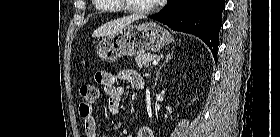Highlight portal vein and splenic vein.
I'll list each match as a JSON object with an SVG mask.
<instances>
[{"label": "portal vein and splenic vein", "mask_w": 280, "mask_h": 137, "mask_svg": "<svg viewBox=\"0 0 280 137\" xmlns=\"http://www.w3.org/2000/svg\"><path fill=\"white\" fill-rule=\"evenodd\" d=\"M152 64L153 65H157L158 64V60H154Z\"/></svg>", "instance_id": "portal-vein-and-splenic-vein-1"}]
</instances>
